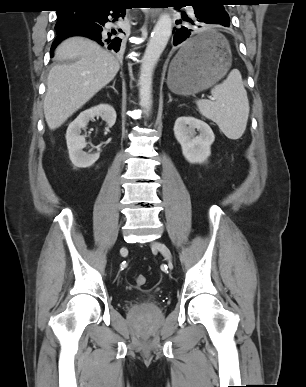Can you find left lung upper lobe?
I'll list each match as a JSON object with an SVG mask.
<instances>
[{
  "label": "left lung upper lobe",
  "mask_w": 306,
  "mask_h": 387,
  "mask_svg": "<svg viewBox=\"0 0 306 387\" xmlns=\"http://www.w3.org/2000/svg\"><path fill=\"white\" fill-rule=\"evenodd\" d=\"M184 2H208L215 7L218 15L221 18L227 20L230 19L227 12L224 10L223 2H225V0H184Z\"/></svg>",
  "instance_id": "1"
}]
</instances>
